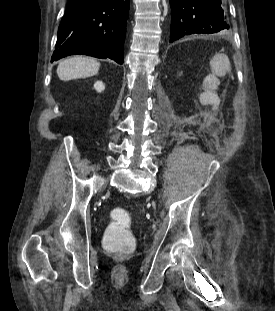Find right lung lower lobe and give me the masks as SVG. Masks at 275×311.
<instances>
[{"instance_id":"obj_1","label":"right lung lower lobe","mask_w":275,"mask_h":311,"mask_svg":"<svg viewBox=\"0 0 275 311\" xmlns=\"http://www.w3.org/2000/svg\"><path fill=\"white\" fill-rule=\"evenodd\" d=\"M129 0L68 2L51 62L83 54L123 64Z\"/></svg>"}]
</instances>
